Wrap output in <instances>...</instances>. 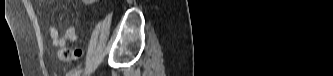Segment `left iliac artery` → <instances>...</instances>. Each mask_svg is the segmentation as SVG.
Returning <instances> with one entry per match:
<instances>
[{
	"instance_id": "1",
	"label": "left iliac artery",
	"mask_w": 333,
	"mask_h": 76,
	"mask_svg": "<svg viewBox=\"0 0 333 76\" xmlns=\"http://www.w3.org/2000/svg\"><path fill=\"white\" fill-rule=\"evenodd\" d=\"M81 72H82V70L81 69H79V70H76V71H73V72H71V76H79L80 74H81Z\"/></svg>"
}]
</instances>
